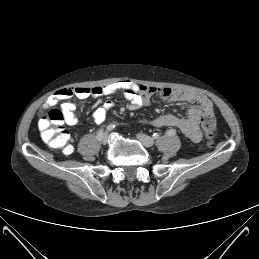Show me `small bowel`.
I'll return each mask as SVG.
<instances>
[{"label":"small bowel","mask_w":259,"mask_h":259,"mask_svg":"<svg viewBox=\"0 0 259 259\" xmlns=\"http://www.w3.org/2000/svg\"><path fill=\"white\" fill-rule=\"evenodd\" d=\"M122 92L128 101L126 108L136 110L150 104L154 95L170 102H190L195 105L188 111L186 117H178L174 114H162L153 118L149 123L154 127H174L180 130L187 138L193 142L201 141L203 133L201 130L202 119L205 116L213 115V104L205 95L191 90L177 88H154L135 83L130 80H118L103 86L92 88L75 87L62 88L50 95L45 101L44 108H48L61 100H68L73 97L79 100L87 98H101L111 96L116 92ZM114 102L107 99L100 107L92 113V119L96 124H101L105 120L108 112L114 107ZM65 122L70 126L78 124V117L75 113L76 103L65 101L61 104ZM43 139V138H42Z\"/></svg>","instance_id":"c3829d8e"}]
</instances>
